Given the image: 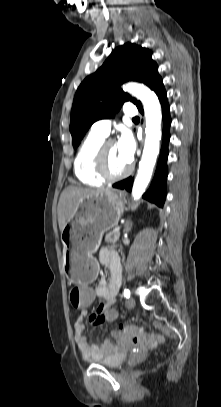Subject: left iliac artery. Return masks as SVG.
I'll return each instance as SVG.
<instances>
[{
    "mask_svg": "<svg viewBox=\"0 0 221 407\" xmlns=\"http://www.w3.org/2000/svg\"><path fill=\"white\" fill-rule=\"evenodd\" d=\"M123 296L128 299L130 297V291L128 289H125L123 292Z\"/></svg>",
    "mask_w": 221,
    "mask_h": 407,
    "instance_id": "44dca946",
    "label": "left iliac artery"
}]
</instances>
